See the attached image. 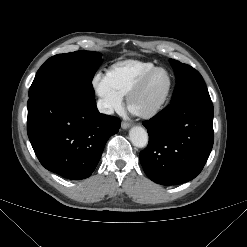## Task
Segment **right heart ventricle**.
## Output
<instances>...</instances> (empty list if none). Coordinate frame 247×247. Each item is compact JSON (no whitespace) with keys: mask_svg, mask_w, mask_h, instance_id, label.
<instances>
[{"mask_svg":"<svg viewBox=\"0 0 247 247\" xmlns=\"http://www.w3.org/2000/svg\"><path fill=\"white\" fill-rule=\"evenodd\" d=\"M154 67L152 62L127 59L110 66L107 76L113 89L123 97L127 96L143 76Z\"/></svg>","mask_w":247,"mask_h":247,"instance_id":"e07e8e85","label":"right heart ventricle"}]
</instances>
